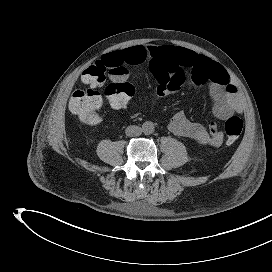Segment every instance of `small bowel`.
Listing matches in <instances>:
<instances>
[{
  "instance_id": "small-bowel-1",
  "label": "small bowel",
  "mask_w": 272,
  "mask_h": 272,
  "mask_svg": "<svg viewBox=\"0 0 272 272\" xmlns=\"http://www.w3.org/2000/svg\"><path fill=\"white\" fill-rule=\"evenodd\" d=\"M146 61L158 82L155 90L157 96L165 97L177 92L189 78L195 90L202 86L208 87L213 113L217 118L224 120L243 112L238 90L225 68L189 49L171 45H137L107 53L98 62L109 68L121 66L126 69L127 65H138ZM111 77L114 78V75ZM169 129L178 136L215 148L220 147L224 141V134L215 123L207 128L189 120L182 112L171 118Z\"/></svg>"
}]
</instances>
